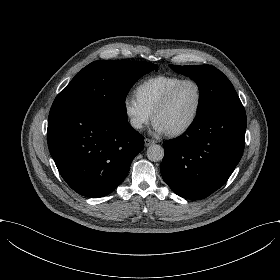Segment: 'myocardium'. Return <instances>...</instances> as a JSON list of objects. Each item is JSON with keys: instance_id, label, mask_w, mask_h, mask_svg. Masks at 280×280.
Returning <instances> with one entry per match:
<instances>
[{"instance_id": "1", "label": "myocardium", "mask_w": 280, "mask_h": 280, "mask_svg": "<svg viewBox=\"0 0 280 280\" xmlns=\"http://www.w3.org/2000/svg\"><path fill=\"white\" fill-rule=\"evenodd\" d=\"M186 83H194L196 85V87L198 89V94H199L198 104L196 107V111L190 121H188L186 124H184L180 127H177L175 129L169 131V134L173 135V136L185 133L190 128H192L195 125V123L197 122V120L200 116V113L202 111V108H203V103H204V89H203L202 84L197 79H194V78H185V79L181 80L176 86H174L167 93V95L163 98V100L159 103V105L156 107V109L154 111V117L157 118V116L170 105L176 92Z\"/></svg>"}]
</instances>
